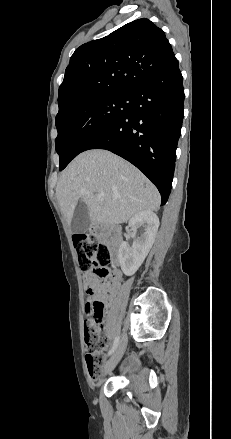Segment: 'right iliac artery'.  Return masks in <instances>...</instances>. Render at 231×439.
I'll list each match as a JSON object with an SVG mask.
<instances>
[{
  "mask_svg": "<svg viewBox=\"0 0 231 439\" xmlns=\"http://www.w3.org/2000/svg\"><path fill=\"white\" fill-rule=\"evenodd\" d=\"M118 344H119V336H117V337L115 338L114 343H113V346H112V348L109 350L108 355H111V354L115 351V349L117 348Z\"/></svg>",
  "mask_w": 231,
  "mask_h": 439,
  "instance_id": "82829eb1",
  "label": "right iliac artery"
}]
</instances>
